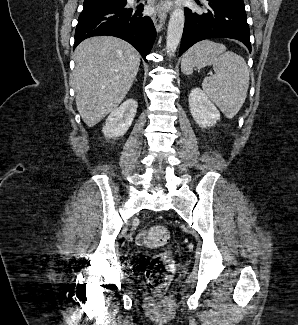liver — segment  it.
Wrapping results in <instances>:
<instances>
[{"mask_svg": "<svg viewBox=\"0 0 298 325\" xmlns=\"http://www.w3.org/2000/svg\"><path fill=\"white\" fill-rule=\"evenodd\" d=\"M74 54L77 110L87 126H94L125 98L141 56L134 46L116 36L86 38Z\"/></svg>", "mask_w": 298, "mask_h": 325, "instance_id": "obj_1", "label": "liver"}]
</instances>
